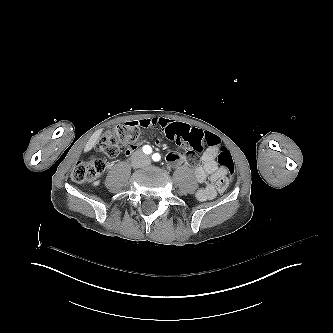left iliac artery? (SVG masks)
<instances>
[{
	"label": "left iliac artery",
	"instance_id": "obj_1",
	"mask_svg": "<svg viewBox=\"0 0 333 333\" xmlns=\"http://www.w3.org/2000/svg\"><path fill=\"white\" fill-rule=\"evenodd\" d=\"M160 155L158 154V153H155V154H153V156H152V159L154 160V161H159L160 160Z\"/></svg>",
	"mask_w": 333,
	"mask_h": 333
}]
</instances>
